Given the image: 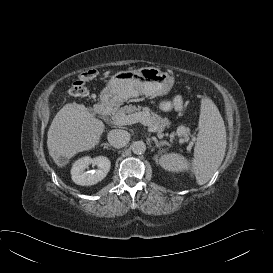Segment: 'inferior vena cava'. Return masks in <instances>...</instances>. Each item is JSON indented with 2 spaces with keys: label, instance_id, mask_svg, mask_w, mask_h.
<instances>
[{
  "label": "inferior vena cava",
  "instance_id": "1",
  "mask_svg": "<svg viewBox=\"0 0 273 273\" xmlns=\"http://www.w3.org/2000/svg\"><path fill=\"white\" fill-rule=\"evenodd\" d=\"M108 142L115 148L124 147L130 140V134L121 129L111 130L107 135Z\"/></svg>",
  "mask_w": 273,
  "mask_h": 273
}]
</instances>
